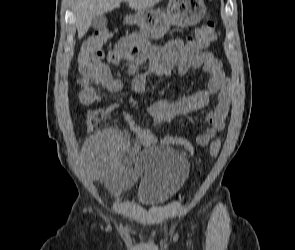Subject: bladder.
Masks as SVG:
<instances>
[{
    "instance_id": "31cf9c89",
    "label": "bladder",
    "mask_w": 295,
    "mask_h": 250,
    "mask_svg": "<svg viewBox=\"0 0 295 250\" xmlns=\"http://www.w3.org/2000/svg\"><path fill=\"white\" fill-rule=\"evenodd\" d=\"M139 175L138 201L145 206L167 202L188 175V162L176 149L159 146L143 150L137 158Z\"/></svg>"
}]
</instances>
